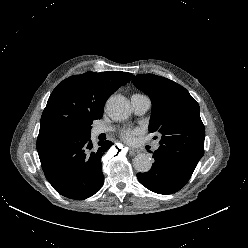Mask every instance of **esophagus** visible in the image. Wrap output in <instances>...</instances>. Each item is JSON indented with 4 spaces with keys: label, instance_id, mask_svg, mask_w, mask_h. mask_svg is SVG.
<instances>
[{
    "label": "esophagus",
    "instance_id": "1",
    "mask_svg": "<svg viewBox=\"0 0 248 248\" xmlns=\"http://www.w3.org/2000/svg\"><path fill=\"white\" fill-rule=\"evenodd\" d=\"M128 152H129V154H130L131 156H134V155H136L139 151L136 150V149H133V148H129V149H128Z\"/></svg>",
    "mask_w": 248,
    "mask_h": 248
}]
</instances>
